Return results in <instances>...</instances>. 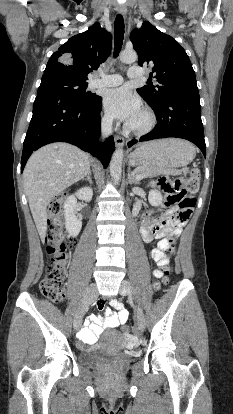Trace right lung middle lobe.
I'll return each mask as SVG.
<instances>
[{"label":"right lung middle lobe","mask_w":233,"mask_h":414,"mask_svg":"<svg viewBox=\"0 0 233 414\" xmlns=\"http://www.w3.org/2000/svg\"><path fill=\"white\" fill-rule=\"evenodd\" d=\"M87 82L61 76L42 77L37 95H54L76 103H89L99 96L86 91Z\"/></svg>","instance_id":"obj_1"}]
</instances>
